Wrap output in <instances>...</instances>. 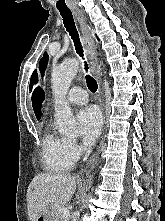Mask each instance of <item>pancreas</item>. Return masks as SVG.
Segmentation results:
<instances>
[{"mask_svg":"<svg viewBox=\"0 0 165 221\" xmlns=\"http://www.w3.org/2000/svg\"><path fill=\"white\" fill-rule=\"evenodd\" d=\"M60 208H62V207H58L54 210L53 221H69V217H67V218L61 217V215L59 214Z\"/></svg>","mask_w":165,"mask_h":221,"instance_id":"cf45deb5","label":"pancreas"}]
</instances>
